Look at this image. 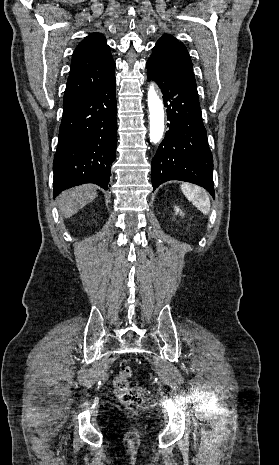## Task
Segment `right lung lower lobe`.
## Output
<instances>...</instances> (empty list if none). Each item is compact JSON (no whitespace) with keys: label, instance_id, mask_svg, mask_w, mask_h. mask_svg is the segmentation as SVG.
Returning a JSON list of instances; mask_svg holds the SVG:
<instances>
[{"label":"right lung lower lobe","instance_id":"1","mask_svg":"<svg viewBox=\"0 0 279 465\" xmlns=\"http://www.w3.org/2000/svg\"><path fill=\"white\" fill-rule=\"evenodd\" d=\"M113 75L89 97L63 110L54 156V197L84 183L108 189L117 147Z\"/></svg>","mask_w":279,"mask_h":465}]
</instances>
